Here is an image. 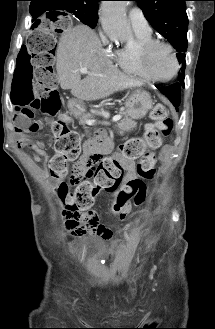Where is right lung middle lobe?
<instances>
[{
	"mask_svg": "<svg viewBox=\"0 0 215 329\" xmlns=\"http://www.w3.org/2000/svg\"><path fill=\"white\" fill-rule=\"evenodd\" d=\"M63 10H57L58 12L56 13H62L64 15H67V13H72L74 14L77 18L80 19V21L91 28H94L97 24L98 20H94L89 18L86 13H85V8L84 6L80 4H67V5H62Z\"/></svg>",
	"mask_w": 215,
	"mask_h": 329,
	"instance_id": "right-lung-middle-lobe-1",
	"label": "right lung middle lobe"
}]
</instances>
